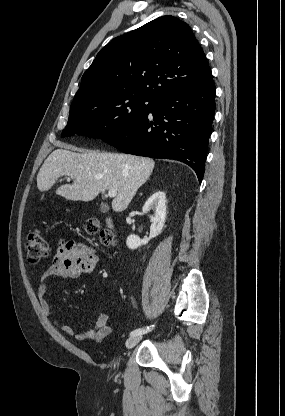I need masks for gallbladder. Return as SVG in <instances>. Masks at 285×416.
<instances>
[{
    "label": "gallbladder",
    "mask_w": 285,
    "mask_h": 416,
    "mask_svg": "<svg viewBox=\"0 0 285 416\" xmlns=\"http://www.w3.org/2000/svg\"><path fill=\"white\" fill-rule=\"evenodd\" d=\"M109 210V206H107V204H102L101 208H100V212H102V214H106V212H108Z\"/></svg>",
    "instance_id": "1"
}]
</instances>
